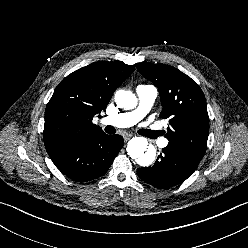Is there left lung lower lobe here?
<instances>
[{
	"instance_id": "obj_1",
	"label": "left lung lower lobe",
	"mask_w": 248,
	"mask_h": 248,
	"mask_svg": "<svg viewBox=\"0 0 248 248\" xmlns=\"http://www.w3.org/2000/svg\"><path fill=\"white\" fill-rule=\"evenodd\" d=\"M196 168L197 166L165 147L153 166L139 168L137 174L146 183L165 189L185 181Z\"/></svg>"
}]
</instances>
